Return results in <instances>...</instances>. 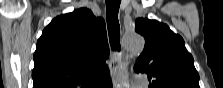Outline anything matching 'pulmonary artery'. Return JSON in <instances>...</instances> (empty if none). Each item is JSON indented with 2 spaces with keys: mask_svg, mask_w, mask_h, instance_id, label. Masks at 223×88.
Wrapping results in <instances>:
<instances>
[{
  "mask_svg": "<svg viewBox=\"0 0 223 88\" xmlns=\"http://www.w3.org/2000/svg\"><path fill=\"white\" fill-rule=\"evenodd\" d=\"M133 84L138 88L145 87L146 84L145 77L141 74H135L133 76Z\"/></svg>",
  "mask_w": 223,
  "mask_h": 88,
  "instance_id": "1",
  "label": "pulmonary artery"
}]
</instances>
